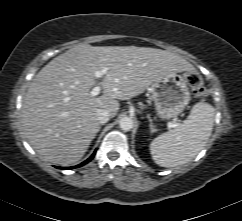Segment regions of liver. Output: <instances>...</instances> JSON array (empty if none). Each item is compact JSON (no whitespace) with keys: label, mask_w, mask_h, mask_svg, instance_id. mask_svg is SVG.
<instances>
[{"label":"liver","mask_w":242,"mask_h":221,"mask_svg":"<svg viewBox=\"0 0 242 221\" xmlns=\"http://www.w3.org/2000/svg\"><path fill=\"white\" fill-rule=\"evenodd\" d=\"M103 95L92 96L97 70ZM179 55L136 46L77 45L45 65L31 82L22 106L23 133L39 156L67 166L79 161L99 129L96 111L116 116L120 104L162 76L191 71Z\"/></svg>","instance_id":"obj_1"}]
</instances>
